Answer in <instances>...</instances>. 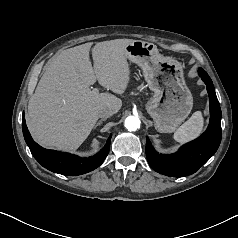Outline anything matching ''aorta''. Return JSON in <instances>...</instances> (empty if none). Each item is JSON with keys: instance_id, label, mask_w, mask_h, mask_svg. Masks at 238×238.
Returning <instances> with one entry per match:
<instances>
[{"instance_id": "762f6f07", "label": "aorta", "mask_w": 238, "mask_h": 238, "mask_svg": "<svg viewBox=\"0 0 238 238\" xmlns=\"http://www.w3.org/2000/svg\"><path fill=\"white\" fill-rule=\"evenodd\" d=\"M141 121L137 116H128L125 119V127L128 131H136L140 128Z\"/></svg>"}]
</instances>
